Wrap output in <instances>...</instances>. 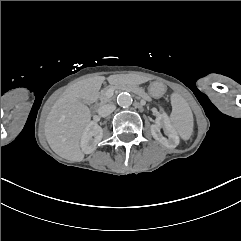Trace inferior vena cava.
<instances>
[{
	"mask_svg": "<svg viewBox=\"0 0 241 241\" xmlns=\"http://www.w3.org/2000/svg\"><path fill=\"white\" fill-rule=\"evenodd\" d=\"M115 109H116L115 105L105 104V105H102L101 107H99L98 114L101 117H106V116L110 115Z\"/></svg>",
	"mask_w": 241,
	"mask_h": 241,
	"instance_id": "602c4592",
	"label": "inferior vena cava"
}]
</instances>
